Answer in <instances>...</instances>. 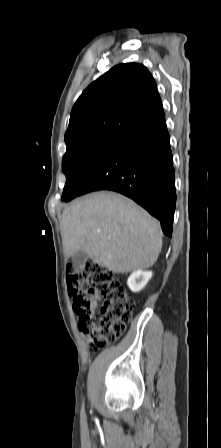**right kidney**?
<instances>
[{"mask_svg": "<svg viewBox=\"0 0 221 448\" xmlns=\"http://www.w3.org/2000/svg\"><path fill=\"white\" fill-rule=\"evenodd\" d=\"M152 277L151 271H134L127 280V285L132 292H139L148 283Z\"/></svg>", "mask_w": 221, "mask_h": 448, "instance_id": "ca27d5eb", "label": "right kidney"}]
</instances>
